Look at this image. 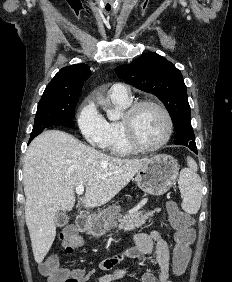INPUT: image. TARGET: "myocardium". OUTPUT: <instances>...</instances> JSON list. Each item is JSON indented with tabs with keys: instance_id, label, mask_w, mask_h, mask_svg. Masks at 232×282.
Instances as JSON below:
<instances>
[{
	"instance_id": "f54148a6",
	"label": "myocardium",
	"mask_w": 232,
	"mask_h": 282,
	"mask_svg": "<svg viewBox=\"0 0 232 282\" xmlns=\"http://www.w3.org/2000/svg\"><path fill=\"white\" fill-rule=\"evenodd\" d=\"M145 106H151L158 109L163 114L167 124V132L165 137L159 143L151 146L142 144L137 138L135 132L134 121L136 114ZM122 125L127 142L135 151L140 152H151L161 149L170 141L174 131V123L169 111L160 103L152 100H140L131 104L124 113Z\"/></svg>"
}]
</instances>
